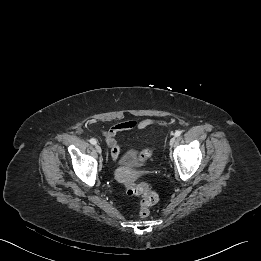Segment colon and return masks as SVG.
<instances>
[{"label": "colon", "instance_id": "obj_1", "mask_svg": "<svg viewBox=\"0 0 261 261\" xmlns=\"http://www.w3.org/2000/svg\"><path fill=\"white\" fill-rule=\"evenodd\" d=\"M151 155L152 150L145 149L141 153L140 158L144 161L149 159ZM125 191L128 195H141L143 197L139 208V215L142 218L148 217L150 215V207L158 200V196L153 187L149 184H129L126 186Z\"/></svg>", "mask_w": 261, "mask_h": 261}]
</instances>
